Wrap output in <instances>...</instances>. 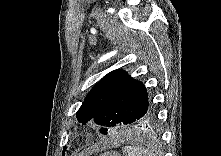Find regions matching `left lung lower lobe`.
I'll return each instance as SVG.
<instances>
[{
  "instance_id": "obj_1",
  "label": "left lung lower lobe",
  "mask_w": 221,
  "mask_h": 156,
  "mask_svg": "<svg viewBox=\"0 0 221 156\" xmlns=\"http://www.w3.org/2000/svg\"><path fill=\"white\" fill-rule=\"evenodd\" d=\"M148 116L145 118H141L138 121H136L133 125L141 128L152 126L155 121V114L154 112H150Z\"/></svg>"
}]
</instances>
